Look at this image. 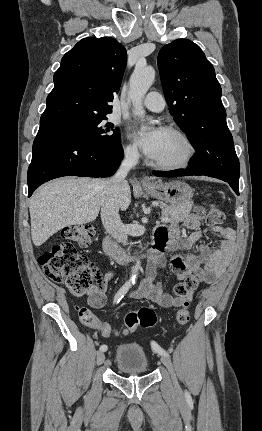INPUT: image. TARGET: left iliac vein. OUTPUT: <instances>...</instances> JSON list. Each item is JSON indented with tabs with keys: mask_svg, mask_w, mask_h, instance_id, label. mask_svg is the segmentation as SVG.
I'll return each instance as SVG.
<instances>
[{
	"mask_svg": "<svg viewBox=\"0 0 262 431\" xmlns=\"http://www.w3.org/2000/svg\"><path fill=\"white\" fill-rule=\"evenodd\" d=\"M161 361L166 366V368L168 369L175 387H178V383H177V379H176V376H175L174 368H173V365H172V362H171L170 358L168 356H166V355H163L161 357Z\"/></svg>",
	"mask_w": 262,
	"mask_h": 431,
	"instance_id": "left-iliac-vein-1",
	"label": "left iliac vein"
}]
</instances>
